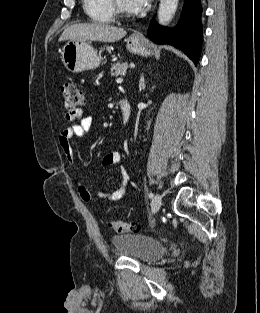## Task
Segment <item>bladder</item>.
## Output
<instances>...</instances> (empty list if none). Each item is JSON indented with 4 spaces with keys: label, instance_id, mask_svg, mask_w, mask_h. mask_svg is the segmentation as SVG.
Segmentation results:
<instances>
[{
    "label": "bladder",
    "instance_id": "bladder-1",
    "mask_svg": "<svg viewBox=\"0 0 260 313\" xmlns=\"http://www.w3.org/2000/svg\"><path fill=\"white\" fill-rule=\"evenodd\" d=\"M113 245L126 257L150 262L163 256L164 245L147 235L123 234L112 237Z\"/></svg>",
    "mask_w": 260,
    "mask_h": 313
}]
</instances>
